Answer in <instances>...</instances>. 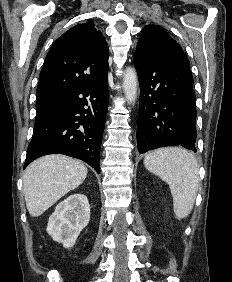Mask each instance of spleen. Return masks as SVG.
Returning a JSON list of instances; mask_svg holds the SVG:
<instances>
[{
  "label": "spleen",
  "instance_id": "spleen-1",
  "mask_svg": "<svg viewBox=\"0 0 232 282\" xmlns=\"http://www.w3.org/2000/svg\"><path fill=\"white\" fill-rule=\"evenodd\" d=\"M144 165L169 184L175 215L187 217L198 190L199 167L194 156L180 148L159 149L146 155Z\"/></svg>",
  "mask_w": 232,
  "mask_h": 282
}]
</instances>
